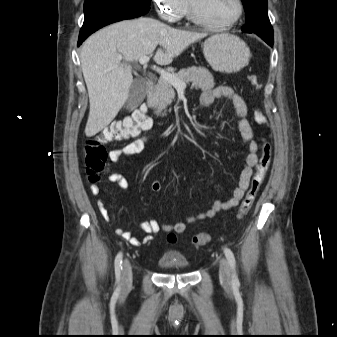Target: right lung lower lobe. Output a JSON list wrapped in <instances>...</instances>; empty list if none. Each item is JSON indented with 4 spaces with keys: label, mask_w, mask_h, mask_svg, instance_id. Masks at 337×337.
<instances>
[{
    "label": "right lung lower lobe",
    "mask_w": 337,
    "mask_h": 337,
    "mask_svg": "<svg viewBox=\"0 0 337 337\" xmlns=\"http://www.w3.org/2000/svg\"><path fill=\"white\" fill-rule=\"evenodd\" d=\"M150 7H138L120 2H105L88 9L80 30L78 46L93 32L113 22L146 14Z\"/></svg>",
    "instance_id": "1"
}]
</instances>
